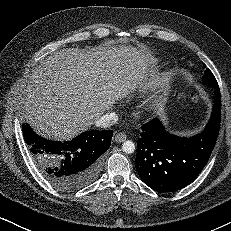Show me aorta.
Masks as SVG:
<instances>
[{"label": "aorta", "mask_w": 231, "mask_h": 231, "mask_svg": "<svg viewBox=\"0 0 231 231\" xmlns=\"http://www.w3.org/2000/svg\"><path fill=\"white\" fill-rule=\"evenodd\" d=\"M122 150L125 153L131 154L135 151V144L134 142L127 140L122 145Z\"/></svg>", "instance_id": "aorta-1"}]
</instances>
